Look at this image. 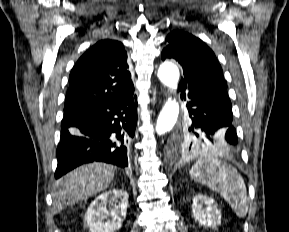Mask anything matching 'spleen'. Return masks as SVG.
I'll list each match as a JSON object with an SVG mask.
<instances>
[{
  "mask_svg": "<svg viewBox=\"0 0 289 232\" xmlns=\"http://www.w3.org/2000/svg\"><path fill=\"white\" fill-rule=\"evenodd\" d=\"M190 175L220 193L238 217L246 216L249 209L246 185L231 165L213 157L200 159L191 168Z\"/></svg>",
  "mask_w": 289,
  "mask_h": 232,
  "instance_id": "spleen-1",
  "label": "spleen"
}]
</instances>
